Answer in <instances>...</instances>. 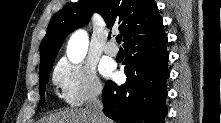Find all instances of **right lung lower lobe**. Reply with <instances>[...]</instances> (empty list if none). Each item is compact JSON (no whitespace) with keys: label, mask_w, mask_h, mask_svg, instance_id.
<instances>
[{"label":"right lung lower lobe","mask_w":221,"mask_h":123,"mask_svg":"<svg viewBox=\"0 0 221 123\" xmlns=\"http://www.w3.org/2000/svg\"><path fill=\"white\" fill-rule=\"evenodd\" d=\"M164 31L154 37L130 43L125 48L127 81H108L102 98L106 116L118 123H164L169 78Z\"/></svg>","instance_id":"98d812e1"}]
</instances>
